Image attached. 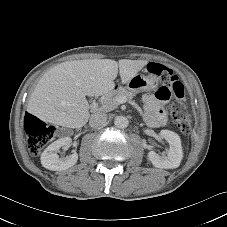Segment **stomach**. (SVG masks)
I'll list each match as a JSON object with an SVG mask.
<instances>
[{"instance_id": "stomach-1", "label": "stomach", "mask_w": 227, "mask_h": 227, "mask_svg": "<svg viewBox=\"0 0 227 227\" xmlns=\"http://www.w3.org/2000/svg\"><path fill=\"white\" fill-rule=\"evenodd\" d=\"M158 86V78L155 75L145 76L143 74H136L127 83V88L133 92H144L155 89Z\"/></svg>"}]
</instances>
